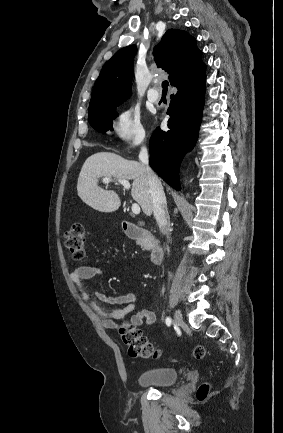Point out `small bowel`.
I'll return each mask as SVG.
<instances>
[{"label":"small bowel","mask_w":283,"mask_h":433,"mask_svg":"<svg viewBox=\"0 0 283 433\" xmlns=\"http://www.w3.org/2000/svg\"><path fill=\"white\" fill-rule=\"evenodd\" d=\"M102 274V269L95 265L77 266L71 270V280L80 291L82 298L88 301L92 308L105 318L106 326L114 329L116 327L115 320L121 319L129 314L130 323L136 327L146 324L151 327L156 322L155 313L148 309H137V295L135 293H127L117 296H109L102 291L95 293L97 299L106 304L117 306L112 310H106L99 306L98 303L91 299L90 294L85 290L83 281L94 278Z\"/></svg>","instance_id":"obj_1"}]
</instances>
